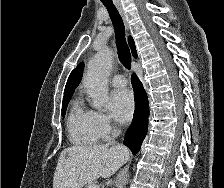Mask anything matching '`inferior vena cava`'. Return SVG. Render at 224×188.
Here are the masks:
<instances>
[{
    "label": "inferior vena cava",
    "mask_w": 224,
    "mask_h": 188,
    "mask_svg": "<svg viewBox=\"0 0 224 188\" xmlns=\"http://www.w3.org/2000/svg\"><path fill=\"white\" fill-rule=\"evenodd\" d=\"M119 133H120L119 130H116V129L113 130V132H112V136H113V138H115L116 136H118ZM111 144H114V141H110L109 143H107V145H111Z\"/></svg>",
    "instance_id": "1"
}]
</instances>
